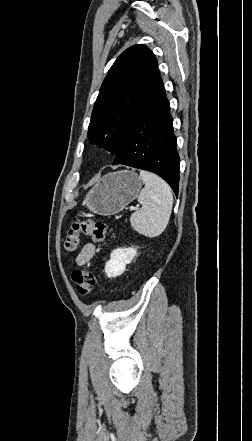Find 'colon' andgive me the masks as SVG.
I'll return each mask as SVG.
<instances>
[{
	"label": "colon",
	"instance_id": "1",
	"mask_svg": "<svg viewBox=\"0 0 252 441\" xmlns=\"http://www.w3.org/2000/svg\"><path fill=\"white\" fill-rule=\"evenodd\" d=\"M91 237L94 241H103L110 233L107 224L101 221L83 220L73 224L64 239L66 252L76 251L80 244V234ZM72 280L77 292L81 296H87L95 284V276L90 269L76 268L72 272Z\"/></svg>",
	"mask_w": 252,
	"mask_h": 441
}]
</instances>
